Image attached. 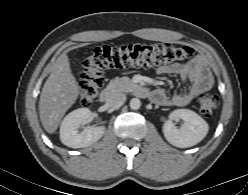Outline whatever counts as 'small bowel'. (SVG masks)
I'll return each instance as SVG.
<instances>
[{"label":"small bowel","instance_id":"obj_1","mask_svg":"<svg viewBox=\"0 0 248 195\" xmlns=\"http://www.w3.org/2000/svg\"><path fill=\"white\" fill-rule=\"evenodd\" d=\"M158 74L178 75L182 82L187 84L186 90L168 96L164 90L152 92V99L166 107H184L197 96L208 91L213 85V77L201 57H195L187 63H172L160 66Z\"/></svg>","mask_w":248,"mask_h":195}]
</instances>
